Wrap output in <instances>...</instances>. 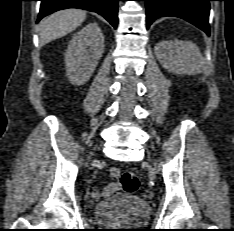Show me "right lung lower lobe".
Returning a JSON list of instances; mask_svg holds the SVG:
<instances>
[{"instance_id":"obj_1","label":"right lung lower lobe","mask_w":234,"mask_h":231,"mask_svg":"<svg viewBox=\"0 0 234 231\" xmlns=\"http://www.w3.org/2000/svg\"><path fill=\"white\" fill-rule=\"evenodd\" d=\"M41 7L37 21L65 8H80L96 12L117 27L118 1L120 0H40Z\"/></svg>"}]
</instances>
